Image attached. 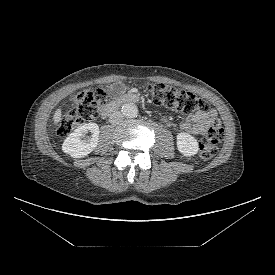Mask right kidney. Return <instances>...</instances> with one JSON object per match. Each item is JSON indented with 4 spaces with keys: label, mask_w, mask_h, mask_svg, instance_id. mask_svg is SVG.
<instances>
[{
    "label": "right kidney",
    "mask_w": 275,
    "mask_h": 275,
    "mask_svg": "<svg viewBox=\"0 0 275 275\" xmlns=\"http://www.w3.org/2000/svg\"><path fill=\"white\" fill-rule=\"evenodd\" d=\"M90 131L91 137L86 138ZM99 127L96 123L83 124L64 140L62 150L73 158H82L90 154L98 145Z\"/></svg>",
    "instance_id": "ca27d5eb"
}]
</instances>
